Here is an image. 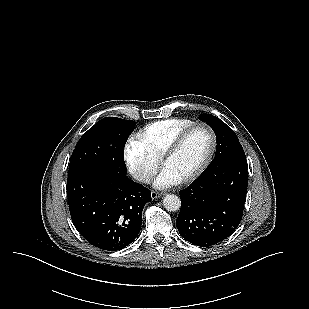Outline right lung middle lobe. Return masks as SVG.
I'll return each mask as SVG.
<instances>
[{
	"instance_id": "right-lung-middle-lobe-1",
	"label": "right lung middle lobe",
	"mask_w": 309,
	"mask_h": 309,
	"mask_svg": "<svg viewBox=\"0 0 309 309\" xmlns=\"http://www.w3.org/2000/svg\"><path fill=\"white\" fill-rule=\"evenodd\" d=\"M135 122L116 117L98 121L78 141L69 165V174L85 168H98L127 177L124 146Z\"/></svg>"
}]
</instances>
